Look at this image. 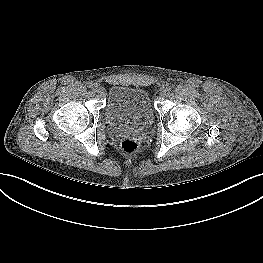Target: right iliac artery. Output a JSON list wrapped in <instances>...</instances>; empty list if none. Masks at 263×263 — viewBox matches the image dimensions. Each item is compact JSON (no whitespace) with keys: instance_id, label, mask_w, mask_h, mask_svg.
Instances as JSON below:
<instances>
[{"instance_id":"right-iliac-artery-1","label":"right iliac artery","mask_w":263,"mask_h":263,"mask_svg":"<svg viewBox=\"0 0 263 263\" xmlns=\"http://www.w3.org/2000/svg\"><path fill=\"white\" fill-rule=\"evenodd\" d=\"M94 85H95V84L90 83V84H89V88H93Z\"/></svg>"}]
</instances>
